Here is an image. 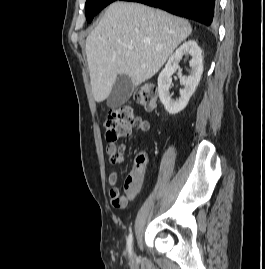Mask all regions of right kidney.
Listing matches in <instances>:
<instances>
[{
  "instance_id": "obj_1",
  "label": "right kidney",
  "mask_w": 265,
  "mask_h": 269,
  "mask_svg": "<svg viewBox=\"0 0 265 269\" xmlns=\"http://www.w3.org/2000/svg\"><path fill=\"white\" fill-rule=\"evenodd\" d=\"M185 54H189L191 56V60L189 62L191 72L188 77L184 76L181 78V84L184 86V88L180 90L179 99L173 100L169 93V88L172 82L171 76L179 68L178 63ZM202 61V51L197 42L194 40H188L187 42L183 43L173 55H171L165 68L159 74V98L169 114L175 115L187 106L190 97L195 92L196 87L201 79L203 73Z\"/></svg>"
}]
</instances>
